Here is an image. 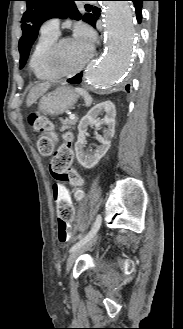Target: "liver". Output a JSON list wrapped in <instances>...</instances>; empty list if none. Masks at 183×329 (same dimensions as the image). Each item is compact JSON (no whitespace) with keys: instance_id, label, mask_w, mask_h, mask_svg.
I'll list each match as a JSON object with an SVG mask.
<instances>
[{"instance_id":"obj_1","label":"liver","mask_w":183,"mask_h":329,"mask_svg":"<svg viewBox=\"0 0 183 329\" xmlns=\"http://www.w3.org/2000/svg\"><path fill=\"white\" fill-rule=\"evenodd\" d=\"M50 88V83H39L35 85L29 92L26 100L27 107L31 106L33 103L37 101L38 98L43 96L48 89Z\"/></svg>"}]
</instances>
